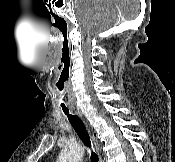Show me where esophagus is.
<instances>
[{"label": "esophagus", "instance_id": "1", "mask_svg": "<svg viewBox=\"0 0 175 162\" xmlns=\"http://www.w3.org/2000/svg\"><path fill=\"white\" fill-rule=\"evenodd\" d=\"M76 113L82 117V113L79 111V110H76ZM92 138V142H93V146L95 148V151L97 152V154L99 155V158H100V162H102L101 160V157H100V146H99V143L98 141L95 139V137L91 136Z\"/></svg>", "mask_w": 175, "mask_h": 162}]
</instances>
